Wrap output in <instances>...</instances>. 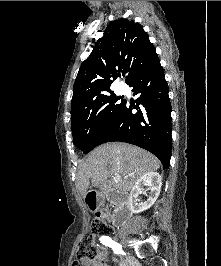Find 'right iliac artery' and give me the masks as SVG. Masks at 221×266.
Listing matches in <instances>:
<instances>
[{
  "mask_svg": "<svg viewBox=\"0 0 221 266\" xmlns=\"http://www.w3.org/2000/svg\"><path fill=\"white\" fill-rule=\"evenodd\" d=\"M100 240L104 245L112 248L114 253H116V254L122 253L121 245L119 243L115 242L114 240H112L110 237L103 236L102 238H100Z\"/></svg>",
  "mask_w": 221,
  "mask_h": 266,
  "instance_id": "right-iliac-artery-1",
  "label": "right iliac artery"
}]
</instances>
